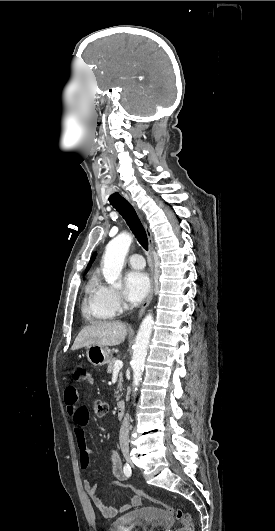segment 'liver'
<instances>
[{"instance_id": "obj_1", "label": "liver", "mask_w": 275, "mask_h": 531, "mask_svg": "<svg viewBox=\"0 0 275 531\" xmlns=\"http://www.w3.org/2000/svg\"><path fill=\"white\" fill-rule=\"evenodd\" d=\"M127 335V327L124 323L119 321H98V323H91L88 327H84L77 335L71 351L82 349V347H89V345H103V347H115L125 341Z\"/></svg>"}]
</instances>
